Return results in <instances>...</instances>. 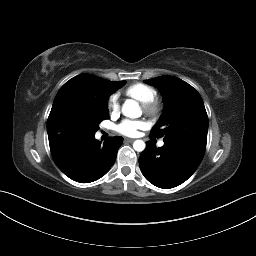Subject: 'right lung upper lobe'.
I'll list each match as a JSON object with an SVG mask.
<instances>
[{
    "instance_id": "right-lung-upper-lobe-1",
    "label": "right lung upper lobe",
    "mask_w": 256,
    "mask_h": 256,
    "mask_svg": "<svg viewBox=\"0 0 256 256\" xmlns=\"http://www.w3.org/2000/svg\"><path fill=\"white\" fill-rule=\"evenodd\" d=\"M114 83L90 74H80L66 82L58 91L48 117V137L58 135L59 118L64 111H86L92 106L107 105L109 95L104 89Z\"/></svg>"
}]
</instances>
